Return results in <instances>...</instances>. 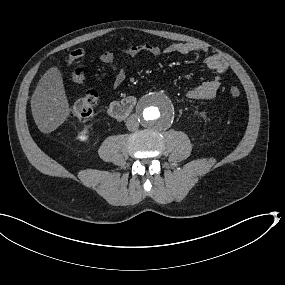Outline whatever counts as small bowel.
<instances>
[{
    "label": "small bowel",
    "instance_id": "small-bowel-1",
    "mask_svg": "<svg viewBox=\"0 0 285 285\" xmlns=\"http://www.w3.org/2000/svg\"><path fill=\"white\" fill-rule=\"evenodd\" d=\"M142 52L153 56L170 53H178L181 55H190L195 53L204 54L205 65L212 74L208 80L188 90L186 97L189 100H208L215 97L220 88L222 76L226 73L228 67L226 61L220 55L209 53L198 44L189 42L173 43L166 48H160L150 43H143L131 45L123 50V53L130 57H134ZM101 60L110 68L112 86L115 88L120 86L126 79L127 71L124 67L117 65L116 53L112 50L105 51L101 55Z\"/></svg>",
    "mask_w": 285,
    "mask_h": 285
}]
</instances>
